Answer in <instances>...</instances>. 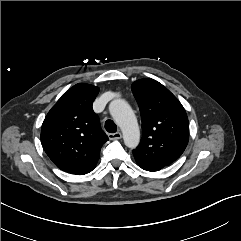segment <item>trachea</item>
I'll list each match as a JSON object with an SVG mask.
<instances>
[{
  "mask_svg": "<svg viewBox=\"0 0 241 241\" xmlns=\"http://www.w3.org/2000/svg\"><path fill=\"white\" fill-rule=\"evenodd\" d=\"M105 129L109 133H115L117 131V126L112 120H107L105 122Z\"/></svg>",
  "mask_w": 241,
  "mask_h": 241,
  "instance_id": "1",
  "label": "trachea"
}]
</instances>
